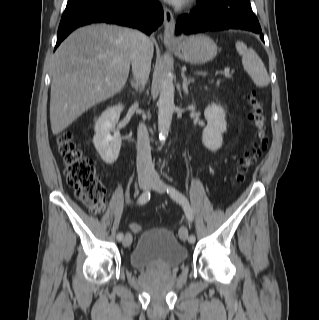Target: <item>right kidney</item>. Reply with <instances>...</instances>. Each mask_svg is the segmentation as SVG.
<instances>
[{"label":"right kidney","instance_id":"obj_1","mask_svg":"<svg viewBox=\"0 0 319 320\" xmlns=\"http://www.w3.org/2000/svg\"><path fill=\"white\" fill-rule=\"evenodd\" d=\"M123 108L122 104L108 107L95 124L93 144L101 159L107 164L114 163L120 152L122 141L120 132L115 130V126ZM112 131L114 132L113 136L111 135Z\"/></svg>","mask_w":319,"mask_h":320}]
</instances>
